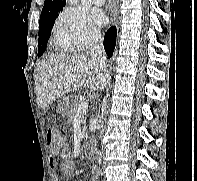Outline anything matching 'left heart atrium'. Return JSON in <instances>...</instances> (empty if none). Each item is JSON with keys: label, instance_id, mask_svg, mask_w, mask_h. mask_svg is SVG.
Segmentation results:
<instances>
[{"label": "left heart atrium", "instance_id": "39dd6f15", "mask_svg": "<svg viewBox=\"0 0 197 181\" xmlns=\"http://www.w3.org/2000/svg\"><path fill=\"white\" fill-rule=\"evenodd\" d=\"M91 18H92L93 23L98 27H102L106 25L108 21L106 14L101 10L93 11L91 14Z\"/></svg>", "mask_w": 197, "mask_h": 181}]
</instances>
